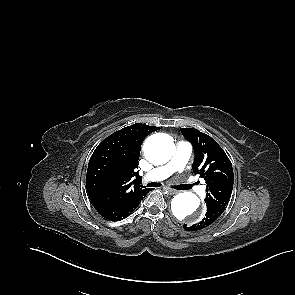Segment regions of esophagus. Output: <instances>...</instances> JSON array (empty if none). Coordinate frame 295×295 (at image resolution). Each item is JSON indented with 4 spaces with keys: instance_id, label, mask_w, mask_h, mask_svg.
<instances>
[{
    "instance_id": "esophagus-1",
    "label": "esophagus",
    "mask_w": 295,
    "mask_h": 295,
    "mask_svg": "<svg viewBox=\"0 0 295 295\" xmlns=\"http://www.w3.org/2000/svg\"><path fill=\"white\" fill-rule=\"evenodd\" d=\"M165 191L169 194V195H174L177 193L176 190L170 189V188H165Z\"/></svg>"
}]
</instances>
